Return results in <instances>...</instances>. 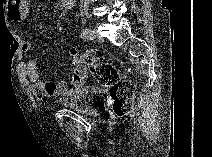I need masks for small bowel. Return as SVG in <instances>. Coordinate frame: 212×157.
<instances>
[{"label": "small bowel", "mask_w": 212, "mask_h": 157, "mask_svg": "<svg viewBox=\"0 0 212 157\" xmlns=\"http://www.w3.org/2000/svg\"><path fill=\"white\" fill-rule=\"evenodd\" d=\"M74 6V0H62L61 7L64 10H70ZM30 1L29 0H11L7 3V16L12 21H20L24 19L29 12ZM32 44L29 41H25L22 45V51L24 53L30 52ZM20 74L28 89H39L44 95L48 97H56L68 92L71 85L79 87L81 83H78L73 77L72 80L60 79V80H43L39 77L38 65L35 60L25 61L21 68Z\"/></svg>", "instance_id": "c3829d8e"}]
</instances>
